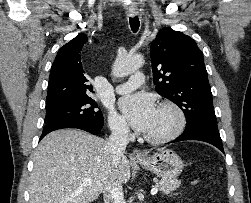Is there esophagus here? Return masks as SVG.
<instances>
[{"mask_svg": "<svg viewBox=\"0 0 251 203\" xmlns=\"http://www.w3.org/2000/svg\"><path fill=\"white\" fill-rule=\"evenodd\" d=\"M129 14L130 16L134 17L138 14V10L135 9V8H132L129 10ZM145 155L144 153L139 150V149H135L133 152H132V158L133 159H136V160H141V159H144Z\"/></svg>", "mask_w": 251, "mask_h": 203, "instance_id": "esophagus-1", "label": "esophagus"}]
</instances>
